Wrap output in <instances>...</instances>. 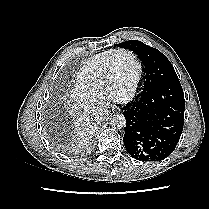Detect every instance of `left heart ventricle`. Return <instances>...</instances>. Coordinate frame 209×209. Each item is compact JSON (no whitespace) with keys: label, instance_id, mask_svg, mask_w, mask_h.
Segmentation results:
<instances>
[{"label":"left heart ventricle","instance_id":"obj_1","mask_svg":"<svg viewBox=\"0 0 209 209\" xmlns=\"http://www.w3.org/2000/svg\"><path fill=\"white\" fill-rule=\"evenodd\" d=\"M136 79V65L129 55L121 54L114 58L108 95L117 99L127 96Z\"/></svg>","mask_w":209,"mask_h":209}]
</instances>
